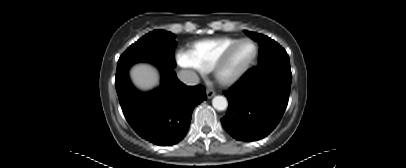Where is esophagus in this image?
Returning <instances> with one entry per match:
<instances>
[{
  "label": "esophagus",
  "instance_id": "esophagus-1",
  "mask_svg": "<svg viewBox=\"0 0 406 168\" xmlns=\"http://www.w3.org/2000/svg\"><path fill=\"white\" fill-rule=\"evenodd\" d=\"M206 94H207V98L210 99L215 96L216 92L212 89H207Z\"/></svg>",
  "mask_w": 406,
  "mask_h": 168
}]
</instances>
